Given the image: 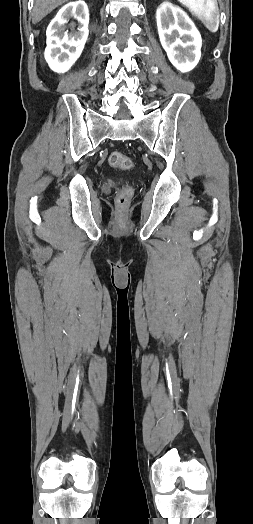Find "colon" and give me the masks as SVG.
Returning a JSON list of instances; mask_svg holds the SVG:
<instances>
[{
  "label": "colon",
  "mask_w": 253,
  "mask_h": 524,
  "mask_svg": "<svg viewBox=\"0 0 253 524\" xmlns=\"http://www.w3.org/2000/svg\"><path fill=\"white\" fill-rule=\"evenodd\" d=\"M108 163L111 167L120 168L123 170H130L134 166L132 159L123 155L120 151H113L108 157ZM132 188L125 187L117 195V203L120 206H125L128 204L132 196Z\"/></svg>",
  "instance_id": "5ec220e1"
}]
</instances>
